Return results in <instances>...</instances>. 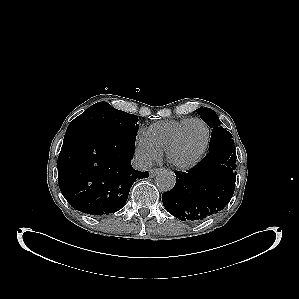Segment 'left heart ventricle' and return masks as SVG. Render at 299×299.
<instances>
[{"label":"left heart ventricle","mask_w":299,"mask_h":299,"mask_svg":"<svg viewBox=\"0 0 299 299\" xmlns=\"http://www.w3.org/2000/svg\"><path fill=\"white\" fill-rule=\"evenodd\" d=\"M205 136L206 130L202 124L198 122L189 124L172 153L173 159L186 162L193 158L203 146Z\"/></svg>","instance_id":"obj_1"}]
</instances>
